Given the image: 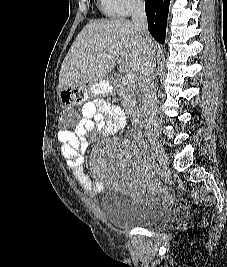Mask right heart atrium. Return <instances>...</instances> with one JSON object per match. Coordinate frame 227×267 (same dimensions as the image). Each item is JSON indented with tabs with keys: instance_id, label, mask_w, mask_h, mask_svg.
Masks as SVG:
<instances>
[{
	"instance_id": "1",
	"label": "right heart atrium",
	"mask_w": 227,
	"mask_h": 267,
	"mask_svg": "<svg viewBox=\"0 0 227 267\" xmlns=\"http://www.w3.org/2000/svg\"><path fill=\"white\" fill-rule=\"evenodd\" d=\"M118 10L119 15L127 16L143 7V0H108Z\"/></svg>"
}]
</instances>
